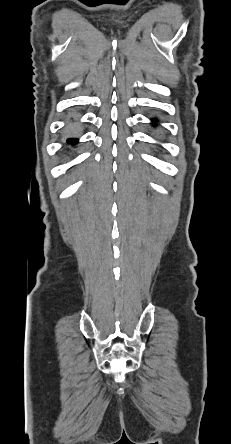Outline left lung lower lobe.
Here are the masks:
<instances>
[{
	"label": "left lung lower lobe",
	"mask_w": 231,
	"mask_h": 444,
	"mask_svg": "<svg viewBox=\"0 0 231 444\" xmlns=\"http://www.w3.org/2000/svg\"><path fill=\"white\" fill-rule=\"evenodd\" d=\"M153 122H155V123H154V125H155V126H157V124H156V121H155V120H153Z\"/></svg>",
	"instance_id": "obj_1"
}]
</instances>
